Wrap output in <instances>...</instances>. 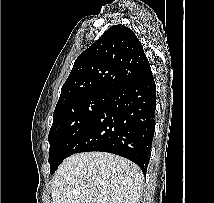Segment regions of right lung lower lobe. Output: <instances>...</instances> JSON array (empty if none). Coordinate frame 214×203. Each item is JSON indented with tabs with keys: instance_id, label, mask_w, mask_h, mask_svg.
<instances>
[{
	"instance_id": "obj_1",
	"label": "right lung lower lobe",
	"mask_w": 214,
	"mask_h": 203,
	"mask_svg": "<svg viewBox=\"0 0 214 203\" xmlns=\"http://www.w3.org/2000/svg\"><path fill=\"white\" fill-rule=\"evenodd\" d=\"M156 85L152 72L111 93L69 156L101 151L136 163L145 174L154 134Z\"/></svg>"
}]
</instances>
